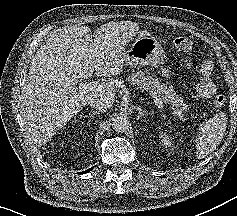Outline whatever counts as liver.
<instances>
[{
  "label": "liver",
  "instance_id": "obj_1",
  "mask_svg": "<svg viewBox=\"0 0 237 216\" xmlns=\"http://www.w3.org/2000/svg\"><path fill=\"white\" fill-rule=\"evenodd\" d=\"M93 42L91 29L73 25L51 36L37 51L20 96L28 136L43 142L62 128L99 91L114 98L121 61L113 41ZM95 74L102 79L77 87Z\"/></svg>",
  "mask_w": 237,
  "mask_h": 216
}]
</instances>
